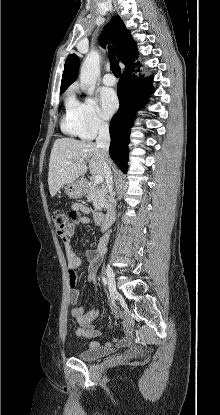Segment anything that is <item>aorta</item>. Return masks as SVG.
<instances>
[{"mask_svg":"<svg viewBox=\"0 0 220 415\" xmlns=\"http://www.w3.org/2000/svg\"><path fill=\"white\" fill-rule=\"evenodd\" d=\"M100 73V56L98 52L91 51L85 58L80 69V84L82 88L93 91L97 77Z\"/></svg>","mask_w":220,"mask_h":415,"instance_id":"obj_1","label":"aorta"}]
</instances>
